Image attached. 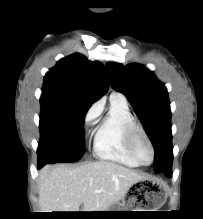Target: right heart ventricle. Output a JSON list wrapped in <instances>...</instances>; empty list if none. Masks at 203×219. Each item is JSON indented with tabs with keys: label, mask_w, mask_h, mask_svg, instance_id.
<instances>
[{
	"label": "right heart ventricle",
	"mask_w": 203,
	"mask_h": 219,
	"mask_svg": "<svg viewBox=\"0 0 203 219\" xmlns=\"http://www.w3.org/2000/svg\"><path fill=\"white\" fill-rule=\"evenodd\" d=\"M135 122L127 103L111 99L110 110L98 126L93 143L94 155L128 167L141 166L131 155L126 143V130Z\"/></svg>",
	"instance_id": "obj_1"
}]
</instances>
